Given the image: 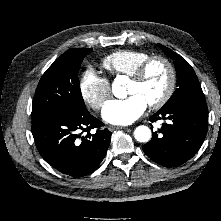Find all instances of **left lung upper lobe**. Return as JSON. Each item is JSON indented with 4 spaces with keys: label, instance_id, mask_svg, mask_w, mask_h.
Listing matches in <instances>:
<instances>
[{
    "label": "left lung upper lobe",
    "instance_id": "5c2ea615",
    "mask_svg": "<svg viewBox=\"0 0 221 221\" xmlns=\"http://www.w3.org/2000/svg\"><path fill=\"white\" fill-rule=\"evenodd\" d=\"M158 46L167 56L175 60L174 65L177 72V89L160 110L172 109L185 103H206L205 96L193 68L177 53L161 44H158Z\"/></svg>",
    "mask_w": 221,
    "mask_h": 221
}]
</instances>
